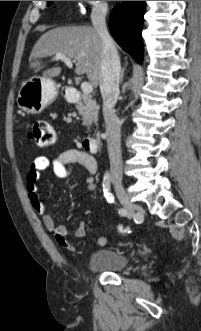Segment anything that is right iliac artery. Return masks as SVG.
Here are the masks:
<instances>
[{
	"label": "right iliac artery",
	"instance_id": "right-iliac-artery-1",
	"mask_svg": "<svg viewBox=\"0 0 201 331\" xmlns=\"http://www.w3.org/2000/svg\"><path fill=\"white\" fill-rule=\"evenodd\" d=\"M102 186H103L104 196L107 199V201L109 203L114 202V197H113L112 193L109 192V190H110V175H109V173H106L104 175ZM118 213L123 216V215H126L127 212L124 208H120V209H118Z\"/></svg>",
	"mask_w": 201,
	"mask_h": 331
}]
</instances>
